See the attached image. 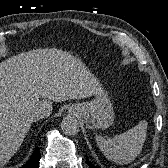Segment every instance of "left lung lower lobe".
Listing matches in <instances>:
<instances>
[{
    "mask_svg": "<svg viewBox=\"0 0 168 168\" xmlns=\"http://www.w3.org/2000/svg\"><path fill=\"white\" fill-rule=\"evenodd\" d=\"M87 162H88V165H89L90 168H98L91 161H88V159H87Z\"/></svg>",
    "mask_w": 168,
    "mask_h": 168,
    "instance_id": "left-lung-lower-lobe-1",
    "label": "left lung lower lobe"
}]
</instances>
